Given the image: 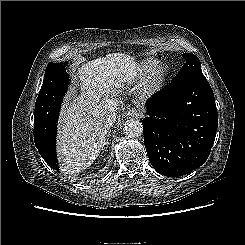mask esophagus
Listing matches in <instances>:
<instances>
[{"label":"esophagus","instance_id":"esophagus-1","mask_svg":"<svg viewBox=\"0 0 245 245\" xmlns=\"http://www.w3.org/2000/svg\"><path fill=\"white\" fill-rule=\"evenodd\" d=\"M141 114L138 112L137 109H130L128 112L124 114V117H139Z\"/></svg>","mask_w":245,"mask_h":245}]
</instances>
